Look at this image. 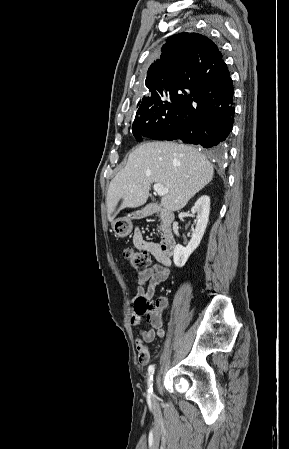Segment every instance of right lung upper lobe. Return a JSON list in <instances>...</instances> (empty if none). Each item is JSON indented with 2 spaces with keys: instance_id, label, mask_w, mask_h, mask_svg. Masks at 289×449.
<instances>
[{
  "instance_id": "cb5924a9",
  "label": "right lung upper lobe",
  "mask_w": 289,
  "mask_h": 449,
  "mask_svg": "<svg viewBox=\"0 0 289 449\" xmlns=\"http://www.w3.org/2000/svg\"><path fill=\"white\" fill-rule=\"evenodd\" d=\"M161 51L160 59L147 72L145 84L151 94L178 89L180 84L189 81H205L226 66L218 47L198 33L173 35Z\"/></svg>"
}]
</instances>
